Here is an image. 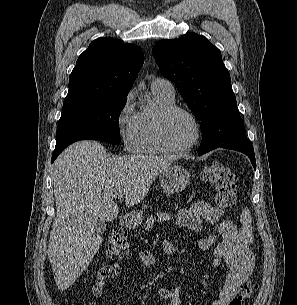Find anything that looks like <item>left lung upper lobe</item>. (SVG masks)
I'll list each match as a JSON object with an SVG mask.
<instances>
[{
	"instance_id": "1",
	"label": "left lung upper lobe",
	"mask_w": 297,
	"mask_h": 305,
	"mask_svg": "<svg viewBox=\"0 0 297 305\" xmlns=\"http://www.w3.org/2000/svg\"><path fill=\"white\" fill-rule=\"evenodd\" d=\"M152 54L160 72L175 83L201 121L199 151L246 137L231 78L217 47L204 36L190 33L157 42Z\"/></svg>"
}]
</instances>
